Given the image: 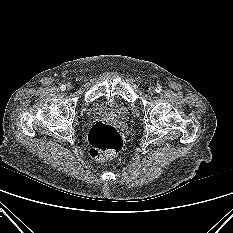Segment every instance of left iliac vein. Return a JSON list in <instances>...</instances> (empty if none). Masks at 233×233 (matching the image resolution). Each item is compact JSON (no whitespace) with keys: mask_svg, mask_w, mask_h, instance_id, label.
Masks as SVG:
<instances>
[{"mask_svg":"<svg viewBox=\"0 0 233 233\" xmlns=\"http://www.w3.org/2000/svg\"><path fill=\"white\" fill-rule=\"evenodd\" d=\"M148 92H149V94L153 95V94L155 93L154 87H150V88L148 89Z\"/></svg>","mask_w":233,"mask_h":233,"instance_id":"1","label":"left iliac vein"}]
</instances>
